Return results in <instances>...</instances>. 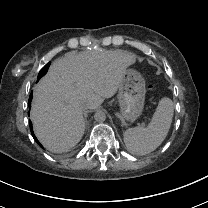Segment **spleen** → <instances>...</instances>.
<instances>
[{
  "label": "spleen",
  "instance_id": "3e777b00",
  "mask_svg": "<svg viewBox=\"0 0 208 208\" xmlns=\"http://www.w3.org/2000/svg\"><path fill=\"white\" fill-rule=\"evenodd\" d=\"M173 108L170 98H161L147 128L136 127L125 131L123 140L127 149L137 155L154 151L167 136L173 118Z\"/></svg>",
  "mask_w": 208,
  "mask_h": 208
}]
</instances>
